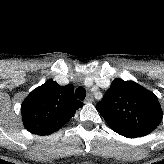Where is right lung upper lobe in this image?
I'll return each mask as SVG.
<instances>
[{
  "mask_svg": "<svg viewBox=\"0 0 164 164\" xmlns=\"http://www.w3.org/2000/svg\"><path fill=\"white\" fill-rule=\"evenodd\" d=\"M83 103L71 85L60 86L52 79L34 89L21 106L25 128L33 134L49 135L59 130Z\"/></svg>",
  "mask_w": 164,
  "mask_h": 164,
  "instance_id": "cb5924a9",
  "label": "right lung upper lobe"
}]
</instances>
